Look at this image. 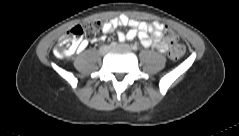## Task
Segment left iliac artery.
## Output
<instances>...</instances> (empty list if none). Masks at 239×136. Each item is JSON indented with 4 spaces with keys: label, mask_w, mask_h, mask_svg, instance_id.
Listing matches in <instances>:
<instances>
[{
    "label": "left iliac artery",
    "mask_w": 239,
    "mask_h": 136,
    "mask_svg": "<svg viewBox=\"0 0 239 136\" xmlns=\"http://www.w3.org/2000/svg\"><path fill=\"white\" fill-rule=\"evenodd\" d=\"M132 49H133V50H137V46H136V45H133V46H132Z\"/></svg>",
    "instance_id": "left-iliac-artery-1"
}]
</instances>
